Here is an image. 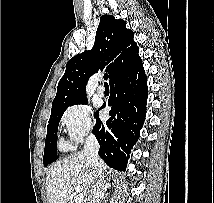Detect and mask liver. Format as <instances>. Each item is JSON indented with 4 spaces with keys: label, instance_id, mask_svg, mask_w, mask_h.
<instances>
[{
    "label": "liver",
    "instance_id": "1",
    "mask_svg": "<svg viewBox=\"0 0 214 203\" xmlns=\"http://www.w3.org/2000/svg\"><path fill=\"white\" fill-rule=\"evenodd\" d=\"M107 166L104 164V170ZM91 167L83 152H77L53 164L46 173V190L49 203H68L75 186H80L83 203L92 193Z\"/></svg>",
    "mask_w": 214,
    "mask_h": 203
}]
</instances>
